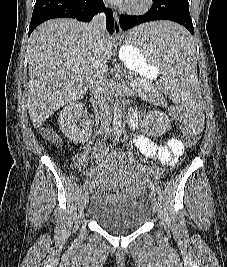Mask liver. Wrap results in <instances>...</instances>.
<instances>
[{"instance_id":"obj_1","label":"liver","mask_w":227,"mask_h":267,"mask_svg":"<svg viewBox=\"0 0 227 267\" xmlns=\"http://www.w3.org/2000/svg\"><path fill=\"white\" fill-rule=\"evenodd\" d=\"M87 27L88 24L74 19H53L41 24L30 36L27 102L35 128L88 91L97 47ZM104 45L109 60L111 36L106 34Z\"/></svg>"}]
</instances>
